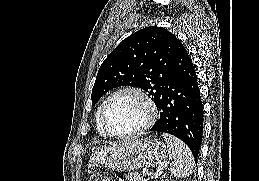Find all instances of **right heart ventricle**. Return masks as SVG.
<instances>
[{"mask_svg": "<svg viewBox=\"0 0 259 181\" xmlns=\"http://www.w3.org/2000/svg\"><path fill=\"white\" fill-rule=\"evenodd\" d=\"M101 107H102V104L99 106V108L97 109L96 114H95L96 127H97V132L100 136L107 137L108 135L106 134V132L104 131V129L102 128V126L100 124Z\"/></svg>", "mask_w": 259, "mask_h": 181, "instance_id": "e07e8e85", "label": "right heart ventricle"}]
</instances>
